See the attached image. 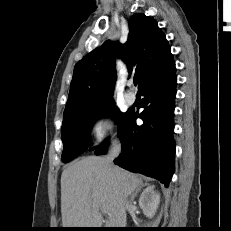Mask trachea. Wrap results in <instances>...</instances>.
<instances>
[{"label": "trachea", "mask_w": 231, "mask_h": 231, "mask_svg": "<svg viewBox=\"0 0 231 231\" xmlns=\"http://www.w3.org/2000/svg\"><path fill=\"white\" fill-rule=\"evenodd\" d=\"M138 83V80H134V85L136 86Z\"/></svg>", "instance_id": "obj_1"}]
</instances>
